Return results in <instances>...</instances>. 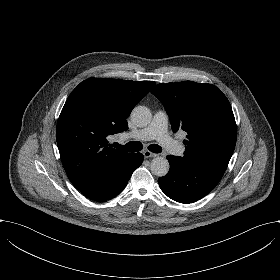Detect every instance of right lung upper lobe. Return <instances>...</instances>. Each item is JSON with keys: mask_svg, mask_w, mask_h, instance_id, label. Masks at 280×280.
I'll use <instances>...</instances> for the list:
<instances>
[{"mask_svg": "<svg viewBox=\"0 0 280 280\" xmlns=\"http://www.w3.org/2000/svg\"><path fill=\"white\" fill-rule=\"evenodd\" d=\"M155 85L151 81L90 78L69 95L57 122L56 140L66 174L86 197L133 154L111 148L106 137L128 129L126 119Z\"/></svg>", "mask_w": 280, "mask_h": 280, "instance_id": "right-lung-upper-lobe-1", "label": "right lung upper lobe"}]
</instances>
